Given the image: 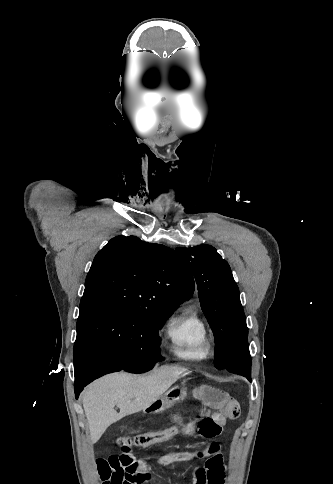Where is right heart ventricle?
Segmentation results:
<instances>
[{
  "label": "right heart ventricle",
  "mask_w": 333,
  "mask_h": 484,
  "mask_svg": "<svg viewBox=\"0 0 333 484\" xmlns=\"http://www.w3.org/2000/svg\"><path fill=\"white\" fill-rule=\"evenodd\" d=\"M166 335L173 355L189 361H200L209 354L208 328L194 307H186L166 325Z\"/></svg>",
  "instance_id": "obj_1"
}]
</instances>
